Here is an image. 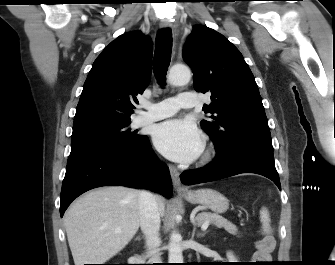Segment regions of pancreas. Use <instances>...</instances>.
Returning a JSON list of instances; mask_svg holds the SVG:
<instances>
[{
    "mask_svg": "<svg viewBox=\"0 0 335 265\" xmlns=\"http://www.w3.org/2000/svg\"><path fill=\"white\" fill-rule=\"evenodd\" d=\"M207 220L218 228H224L228 233L232 235H236L238 232L236 225L216 213L203 212L198 214L197 221L199 223H204Z\"/></svg>",
    "mask_w": 335,
    "mask_h": 265,
    "instance_id": "obj_1",
    "label": "pancreas"
}]
</instances>
